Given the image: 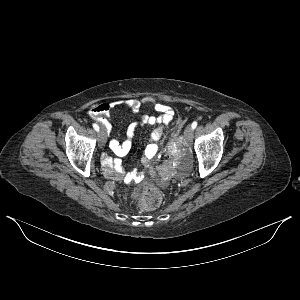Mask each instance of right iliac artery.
I'll return each mask as SVG.
<instances>
[{
  "label": "right iliac artery",
  "mask_w": 300,
  "mask_h": 300,
  "mask_svg": "<svg viewBox=\"0 0 300 300\" xmlns=\"http://www.w3.org/2000/svg\"><path fill=\"white\" fill-rule=\"evenodd\" d=\"M93 128H94L97 132L99 131V126H98L96 123L93 124Z\"/></svg>",
  "instance_id": "obj_1"
}]
</instances>
